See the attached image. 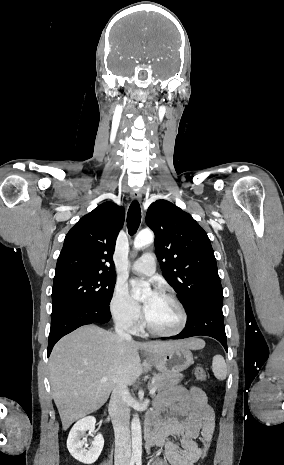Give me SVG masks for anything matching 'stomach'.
Listing matches in <instances>:
<instances>
[{
  "label": "stomach",
  "mask_w": 284,
  "mask_h": 465,
  "mask_svg": "<svg viewBox=\"0 0 284 465\" xmlns=\"http://www.w3.org/2000/svg\"><path fill=\"white\" fill-rule=\"evenodd\" d=\"M158 371L161 373H174V371H185L190 365H193V355L189 349L184 347V343H178L168 353H159V355H148Z\"/></svg>",
  "instance_id": "obj_1"
}]
</instances>
